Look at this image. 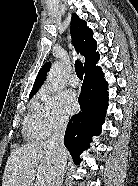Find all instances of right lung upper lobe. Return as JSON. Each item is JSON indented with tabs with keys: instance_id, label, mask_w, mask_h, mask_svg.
Masks as SVG:
<instances>
[{
	"instance_id": "right-lung-upper-lobe-1",
	"label": "right lung upper lobe",
	"mask_w": 138,
	"mask_h": 186,
	"mask_svg": "<svg viewBox=\"0 0 138 186\" xmlns=\"http://www.w3.org/2000/svg\"><path fill=\"white\" fill-rule=\"evenodd\" d=\"M71 36L73 44L81 55L85 57L84 72L85 75H101L102 69L96 66L99 60V53L96 52V41L93 39V31L87 27L86 21L80 19L76 14L71 19ZM50 68V62L46 63L39 71L34 82L30 95H34L43 84L47 72Z\"/></svg>"
}]
</instances>
